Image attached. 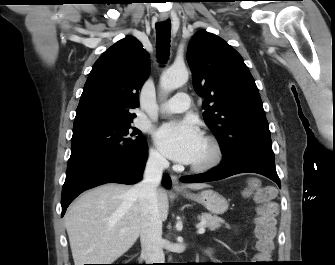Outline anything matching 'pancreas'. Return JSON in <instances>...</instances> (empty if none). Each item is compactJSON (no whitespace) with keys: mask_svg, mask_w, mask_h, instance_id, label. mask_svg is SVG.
<instances>
[{"mask_svg":"<svg viewBox=\"0 0 335 265\" xmlns=\"http://www.w3.org/2000/svg\"><path fill=\"white\" fill-rule=\"evenodd\" d=\"M200 220L205 221L203 226L209 228L211 231L219 228L221 224L225 223V221L222 218L216 215H212L210 213H203L200 216ZM226 226L229 228L228 224H226Z\"/></svg>","mask_w":335,"mask_h":265,"instance_id":"1","label":"pancreas"}]
</instances>
